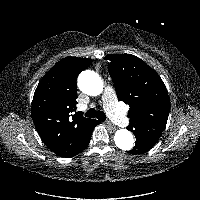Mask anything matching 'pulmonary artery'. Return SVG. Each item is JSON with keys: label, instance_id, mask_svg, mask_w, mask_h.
I'll use <instances>...</instances> for the list:
<instances>
[{"label": "pulmonary artery", "instance_id": "1", "mask_svg": "<svg viewBox=\"0 0 200 200\" xmlns=\"http://www.w3.org/2000/svg\"><path fill=\"white\" fill-rule=\"evenodd\" d=\"M102 102L108 111V115L114 122L120 126H126L129 123L128 117L118 106L117 97L112 88H105L102 95Z\"/></svg>", "mask_w": 200, "mask_h": 200}]
</instances>
